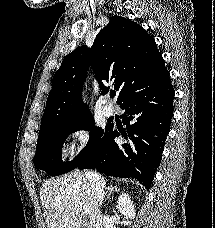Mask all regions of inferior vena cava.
Listing matches in <instances>:
<instances>
[{
    "instance_id": "obj_1",
    "label": "inferior vena cava",
    "mask_w": 215,
    "mask_h": 228,
    "mask_svg": "<svg viewBox=\"0 0 215 228\" xmlns=\"http://www.w3.org/2000/svg\"><path fill=\"white\" fill-rule=\"evenodd\" d=\"M86 176H88L91 182V188L94 190L100 206H102L105 198L106 182H104L103 178H101L99 174H93V172H86Z\"/></svg>"
}]
</instances>
